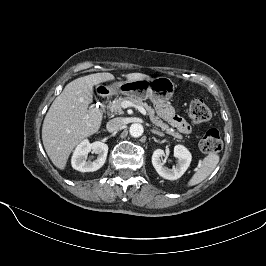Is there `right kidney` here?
Masks as SVG:
<instances>
[{"label": "right kidney", "mask_w": 266, "mask_h": 266, "mask_svg": "<svg viewBox=\"0 0 266 266\" xmlns=\"http://www.w3.org/2000/svg\"><path fill=\"white\" fill-rule=\"evenodd\" d=\"M89 152L97 154V158L94 161H87ZM107 153V144L100 141L89 143V141L85 139L74 150L71 160L72 167L80 172L96 171L104 165Z\"/></svg>", "instance_id": "ca27d5eb"}]
</instances>
